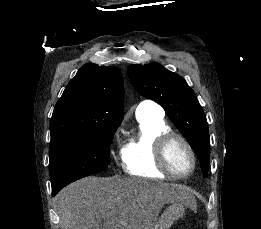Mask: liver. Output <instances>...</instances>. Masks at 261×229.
I'll use <instances>...</instances> for the list:
<instances>
[{
    "instance_id": "1",
    "label": "liver",
    "mask_w": 261,
    "mask_h": 229,
    "mask_svg": "<svg viewBox=\"0 0 261 229\" xmlns=\"http://www.w3.org/2000/svg\"><path fill=\"white\" fill-rule=\"evenodd\" d=\"M61 229H151L165 203L194 201L187 187L144 179L86 177L59 197Z\"/></svg>"
}]
</instances>
